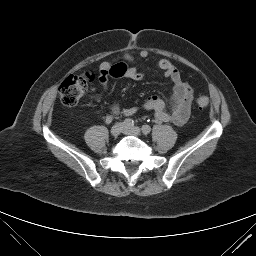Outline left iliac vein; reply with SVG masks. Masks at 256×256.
<instances>
[{"instance_id":"left-iliac-vein-1","label":"left iliac vein","mask_w":256,"mask_h":256,"mask_svg":"<svg viewBox=\"0 0 256 256\" xmlns=\"http://www.w3.org/2000/svg\"><path fill=\"white\" fill-rule=\"evenodd\" d=\"M124 134L133 135V136H140L141 129L139 127H125L123 130Z\"/></svg>"}]
</instances>
